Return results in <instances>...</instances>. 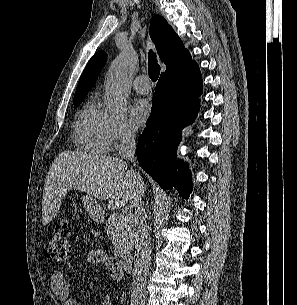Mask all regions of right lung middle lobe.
Returning a JSON list of instances; mask_svg holds the SVG:
<instances>
[{"mask_svg":"<svg viewBox=\"0 0 297 305\" xmlns=\"http://www.w3.org/2000/svg\"><path fill=\"white\" fill-rule=\"evenodd\" d=\"M83 99H84V98L74 100V101H73L74 107H77Z\"/></svg>","mask_w":297,"mask_h":305,"instance_id":"dd1d6c3e","label":"right lung middle lobe"}]
</instances>
